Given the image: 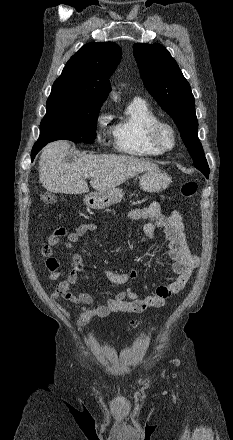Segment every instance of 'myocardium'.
Listing matches in <instances>:
<instances>
[{
	"instance_id": "myocardium-1",
	"label": "myocardium",
	"mask_w": 233,
	"mask_h": 440,
	"mask_svg": "<svg viewBox=\"0 0 233 440\" xmlns=\"http://www.w3.org/2000/svg\"><path fill=\"white\" fill-rule=\"evenodd\" d=\"M165 130L171 135L172 141L169 146L164 145L161 141V133ZM146 137L148 143L162 153L171 151L177 143V134L175 128L169 122L162 120H157L148 126L146 130Z\"/></svg>"
}]
</instances>
